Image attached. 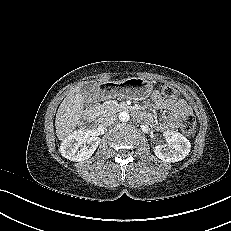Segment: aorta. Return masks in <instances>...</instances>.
Returning a JSON list of instances; mask_svg holds the SVG:
<instances>
[{
    "mask_svg": "<svg viewBox=\"0 0 231 231\" xmlns=\"http://www.w3.org/2000/svg\"><path fill=\"white\" fill-rule=\"evenodd\" d=\"M129 119H130V116H129L128 112L123 111V112L119 113V120L121 122H127V121H129Z\"/></svg>",
    "mask_w": 231,
    "mask_h": 231,
    "instance_id": "762f6f07",
    "label": "aorta"
}]
</instances>
